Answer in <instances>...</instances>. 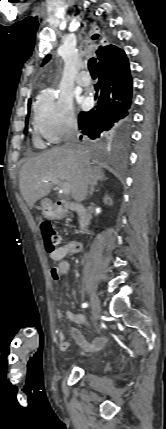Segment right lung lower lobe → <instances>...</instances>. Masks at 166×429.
<instances>
[{
  "label": "right lung lower lobe",
  "instance_id": "1",
  "mask_svg": "<svg viewBox=\"0 0 166 429\" xmlns=\"http://www.w3.org/2000/svg\"><path fill=\"white\" fill-rule=\"evenodd\" d=\"M98 74L97 106L80 112L78 120L82 135L90 139L124 133L130 118L132 78L125 52L100 60Z\"/></svg>",
  "mask_w": 166,
  "mask_h": 429
}]
</instances>
